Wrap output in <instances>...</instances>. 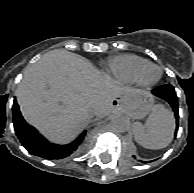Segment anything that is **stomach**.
<instances>
[{"label":"stomach","instance_id":"0dacf381","mask_svg":"<svg viewBox=\"0 0 194 193\" xmlns=\"http://www.w3.org/2000/svg\"><path fill=\"white\" fill-rule=\"evenodd\" d=\"M114 105L129 117L133 119H142L152 110L153 97L150 93L142 91L129 100H115Z\"/></svg>","mask_w":194,"mask_h":193}]
</instances>
